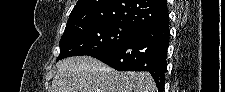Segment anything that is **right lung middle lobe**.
Here are the masks:
<instances>
[{
	"label": "right lung middle lobe",
	"mask_w": 225,
	"mask_h": 92,
	"mask_svg": "<svg viewBox=\"0 0 225 92\" xmlns=\"http://www.w3.org/2000/svg\"><path fill=\"white\" fill-rule=\"evenodd\" d=\"M140 30L120 22L86 23L65 29L57 61L69 56H92L131 40Z\"/></svg>",
	"instance_id": "right-lung-middle-lobe-1"
}]
</instances>
